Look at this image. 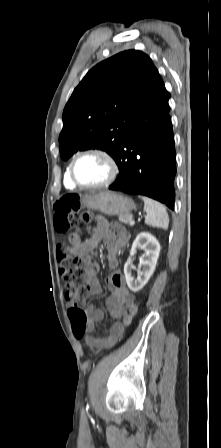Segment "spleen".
Wrapping results in <instances>:
<instances>
[{
    "instance_id": "3e777b00",
    "label": "spleen",
    "mask_w": 221,
    "mask_h": 448,
    "mask_svg": "<svg viewBox=\"0 0 221 448\" xmlns=\"http://www.w3.org/2000/svg\"><path fill=\"white\" fill-rule=\"evenodd\" d=\"M144 201V211L146 212L145 223L152 227L168 229L169 217L166 208L153 199L141 197Z\"/></svg>"
}]
</instances>
